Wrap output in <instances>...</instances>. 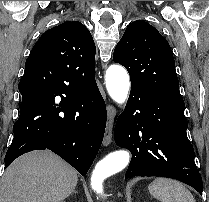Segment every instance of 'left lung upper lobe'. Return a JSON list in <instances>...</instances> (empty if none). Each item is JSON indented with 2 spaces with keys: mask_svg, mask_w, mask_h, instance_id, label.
<instances>
[{
  "mask_svg": "<svg viewBox=\"0 0 209 202\" xmlns=\"http://www.w3.org/2000/svg\"><path fill=\"white\" fill-rule=\"evenodd\" d=\"M113 60L128 70L131 86L182 100L170 45L150 24L132 22L115 47Z\"/></svg>",
  "mask_w": 209,
  "mask_h": 202,
  "instance_id": "obj_1",
  "label": "left lung upper lobe"
}]
</instances>
